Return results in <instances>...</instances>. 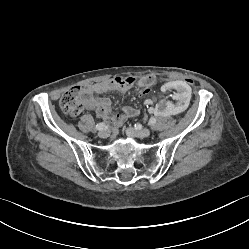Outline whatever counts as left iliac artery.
<instances>
[{"label":"left iliac artery","mask_w":249,"mask_h":249,"mask_svg":"<svg viewBox=\"0 0 249 249\" xmlns=\"http://www.w3.org/2000/svg\"><path fill=\"white\" fill-rule=\"evenodd\" d=\"M155 123H156V119L154 117H151L149 122H148V125L153 126ZM135 127H136V125H135Z\"/></svg>","instance_id":"obj_1"}]
</instances>
